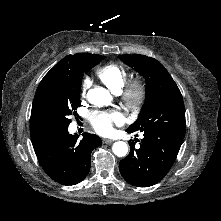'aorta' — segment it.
Here are the masks:
<instances>
[{
    "instance_id": "762f6f07",
    "label": "aorta",
    "mask_w": 221,
    "mask_h": 221,
    "mask_svg": "<svg viewBox=\"0 0 221 221\" xmlns=\"http://www.w3.org/2000/svg\"><path fill=\"white\" fill-rule=\"evenodd\" d=\"M88 100L94 105H105L110 102L111 95L105 88L96 87L88 91ZM113 153L118 157H124L128 153V146L123 141H117L112 145Z\"/></svg>"
}]
</instances>
